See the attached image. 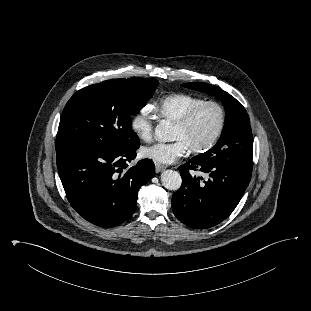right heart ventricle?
Here are the masks:
<instances>
[{
	"instance_id": "obj_1",
	"label": "right heart ventricle",
	"mask_w": 311,
	"mask_h": 311,
	"mask_svg": "<svg viewBox=\"0 0 311 311\" xmlns=\"http://www.w3.org/2000/svg\"><path fill=\"white\" fill-rule=\"evenodd\" d=\"M203 101L205 100L201 97L174 93L159 99L155 102L153 108L162 118L175 123Z\"/></svg>"
}]
</instances>
